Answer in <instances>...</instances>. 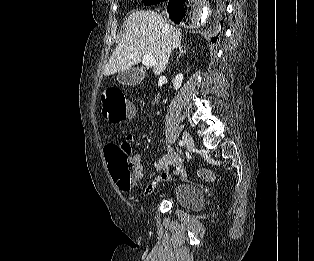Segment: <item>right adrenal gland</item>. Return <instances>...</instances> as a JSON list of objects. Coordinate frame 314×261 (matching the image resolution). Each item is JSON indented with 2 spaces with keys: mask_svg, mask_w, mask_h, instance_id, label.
<instances>
[{
  "mask_svg": "<svg viewBox=\"0 0 314 261\" xmlns=\"http://www.w3.org/2000/svg\"><path fill=\"white\" fill-rule=\"evenodd\" d=\"M178 50H179V55L177 58H179L181 55L186 53V50L182 46H179Z\"/></svg>",
  "mask_w": 314,
  "mask_h": 261,
  "instance_id": "right-adrenal-gland-1",
  "label": "right adrenal gland"
}]
</instances>
